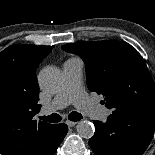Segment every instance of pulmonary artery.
<instances>
[{
  "label": "pulmonary artery",
  "instance_id": "e3ab8cb5",
  "mask_svg": "<svg viewBox=\"0 0 155 155\" xmlns=\"http://www.w3.org/2000/svg\"><path fill=\"white\" fill-rule=\"evenodd\" d=\"M63 83L53 101L43 107L42 114L47 115L55 110L73 104L82 114L91 119L106 120L110 111L91 100L84 92L82 85L83 63L76 58L64 62Z\"/></svg>",
  "mask_w": 155,
  "mask_h": 155
}]
</instances>
